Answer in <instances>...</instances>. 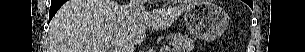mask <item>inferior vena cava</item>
Here are the masks:
<instances>
[{
	"instance_id": "inferior-vena-cava-1",
	"label": "inferior vena cava",
	"mask_w": 305,
	"mask_h": 52,
	"mask_svg": "<svg viewBox=\"0 0 305 52\" xmlns=\"http://www.w3.org/2000/svg\"><path fill=\"white\" fill-rule=\"evenodd\" d=\"M126 10L129 13H132L134 11H144V2L143 0H130L129 4L125 6ZM119 52H134V44L133 43H123L119 47Z\"/></svg>"
}]
</instances>
